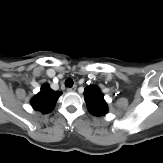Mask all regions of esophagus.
Wrapping results in <instances>:
<instances>
[{"label":"esophagus","mask_w":163,"mask_h":163,"mask_svg":"<svg viewBox=\"0 0 163 163\" xmlns=\"http://www.w3.org/2000/svg\"><path fill=\"white\" fill-rule=\"evenodd\" d=\"M76 89H77V86L75 85V86H73L71 88H68L67 91L68 92H74V91H76Z\"/></svg>","instance_id":"34e87169"}]
</instances>
